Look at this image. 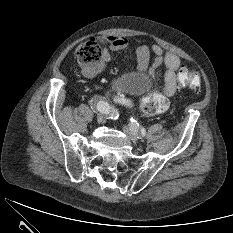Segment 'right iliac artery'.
<instances>
[{"mask_svg":"<svg viewBox=\"0 0 233 233\" xmlns=\"http://www.w3.org/2000/svg\"><path fill=\"white\" fill-rule=\"evenodd\" d=\"M90 105L101 113L107 114L110 118H118L117 110L107 100L100 96H94L90 100Z\"/></svg>","mask_w":233,"mask_h":233,"instance_id":"obj_1","label":"right iliac artery"}]
</instances>
